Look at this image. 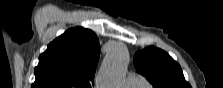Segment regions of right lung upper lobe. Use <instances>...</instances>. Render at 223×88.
Here are the masks:
<instances>
[{"label": "right lung upper lobe", "instance_id": "obj_1", "mask_svg": "<svg viewBox=\"0 0 223 88\" xmlns=\"http://www.w3.org/2000/svg\"><path fill=\"white\" fill-rule=\"evenodd\" d=\"M99 56L97 36L86 28H71L40 55L32 88H92Z\"/></svg>", "mask_w": 223, "mask_h": 88}]
</instances>
